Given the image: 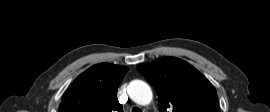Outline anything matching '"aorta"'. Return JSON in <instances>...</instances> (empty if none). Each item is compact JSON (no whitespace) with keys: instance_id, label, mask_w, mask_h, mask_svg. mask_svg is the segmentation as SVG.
Segmentation results:
<instances>
[{"instance_id":"aorta-1","label":"aorta","mask_w":270,"mask_h":112,"mask_svg":"<svg viewBox=\"0 0 270 112\" xmlns=\"http://www.w3.org/2000/svg\"><path fill=\"white\" fill-rule=\"evenodd\" d=\"M130 98L139 105H148L153 98L150 86L142 80H133L128 86Z\"/></svg>"}]
</instances>
